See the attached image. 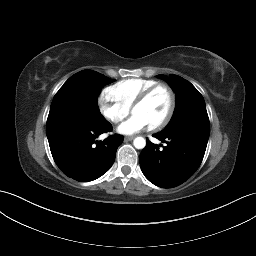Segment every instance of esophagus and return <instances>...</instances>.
Instances as JSON below:
<instances>
[{
    "label": "esophagus",
    "mask_w": 256,
    "mask_h": 256,
    "mask_svg": "<svg viewBox=\"0 0 256 256\" xmlns=\"http://www.w3.org/2000/svg\"><path fill=\"white\" fill-rule=\"evenodd\" d=\"M135 138V136H125L124 137V140L125 141H131V140H133Z\"/></svg>",
    "instance_id": "obj_1"
}]
</instances>
